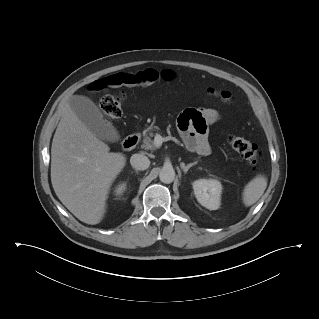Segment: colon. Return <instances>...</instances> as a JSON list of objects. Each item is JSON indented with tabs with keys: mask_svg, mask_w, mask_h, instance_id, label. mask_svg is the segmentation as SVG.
Listing matches in <instances>:
<instances>
[{
	"mask_svg": "<svg viewBox=\"0 0 319 319\" xmlns=\"http://www.w3.org/2000/svg\"><path fill=\"white\" fill-rule=\"evenodd\" d=\"M212 94L219 97L223 102L231 100V94L228 92H215ZM123 95H105L99 101V106L107 119H117L122 115ZM227 141L229 145L236 150L247 163L255 167L260 158V151L254 143L234 134L228 136Z\"/></svg>",
	"mask_w": 319,
	"mask_h": 319,
	"instance_id": "1",
	"label": "colon"
}]
</instances>
